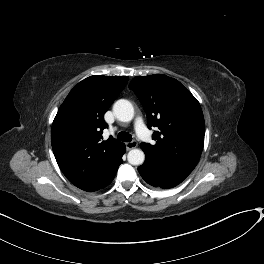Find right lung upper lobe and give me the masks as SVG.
Masks as SVG:
<instances>
[{"label": "right lung upper lobe", "mask_w": 264, "mask_h": 264, "mask_svg": "<svg viewBox=\"0 0 264 264\" xmlns=\"http://www.w3.org/2000/svg\"><path fill=\"white\" fill-rule=\"evenodd\" d=\"M128 76L93 75L68 94L51 129V144L59 168L76 187L92 192L112 179L123 162L125 145L103 140V116L127 84Z\"/></svg>", "instance_id": "obj_1"}]
</instances>
